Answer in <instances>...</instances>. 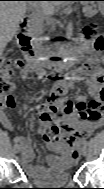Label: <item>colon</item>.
Listing matches in <instances>:
<instances>
[{"label": "colon", "instance_id": "obj_1", "mask_svg": "<svg viewBox=\"0 0 104 189\" xmlns=\"http://www.w3.org/2000/svg\"><path fill=\"white\" fill-rule=\"evenodd\" d=\"M85 41L92 44L94 50L98 53L104 51V36L95 32L93 27H88L83 32ZM24 67L22 59H6L3 63V72L0 80V95L1 105L3 107H12L14 105V98L10 94L11 79L16 69ZM93 73L98 81L102 80V68L99 59H95L93 63ZM74 109L72 102H67L64 105L51 104L47 107L41 108L40 119L41 122L46 123L42 128L41 134L45 144L57 150H66L68 148V140L65 136H59L60 128L55 120L65 114L70 113ZM87 115L103 114V106L100 102H90L83 107Z\"/></svg>", "mask_w": 104, "mask_h": 189}]
</instances>
